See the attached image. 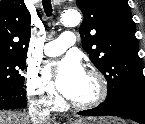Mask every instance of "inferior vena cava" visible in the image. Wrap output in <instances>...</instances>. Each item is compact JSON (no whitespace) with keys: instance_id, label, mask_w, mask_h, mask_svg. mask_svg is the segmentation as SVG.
I'll use <instances>...</instances> for the list:
<instances>
[{"instance_id":"obj_1","label":"inferior vena cava","mask_w":145,"mask_h":124,"mask_svg":"<svg viewBox=\"0 0 145 124\" xmlns=\"http://www.w3.org/2000/svg\"><path fill=\"white\" fill-rule=\"evenodd\" d=\"M49 118V114L45 113L41 109L38 111H32L29 113V119L32 124H41Z\"/></svg>"}]
</instances>
